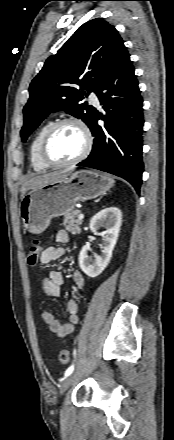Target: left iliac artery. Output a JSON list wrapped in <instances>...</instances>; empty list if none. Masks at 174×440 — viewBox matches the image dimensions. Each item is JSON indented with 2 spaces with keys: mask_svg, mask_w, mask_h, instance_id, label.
<instances>
[{
  "mask_svg": "<svg viewBox=\"0 0 174 440\" xmlns=\"http://www.w3.org/2000/svg\"><path fill=\"white\" fill-rule=\"evenodd\" d=\"M76 352L74 351V356ZM74 370V364H72L66 371H65V377L69 376Z\"/></svg>",
  "mask_w": 174,
  "mask_h": 440,
  "instance_id": "obj_1",
  "label": "left iliac artery"
}]
</instances>
